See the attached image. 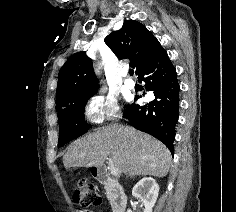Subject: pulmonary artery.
<instances>
[{
  "label": "pulmonary artery",
  "instance_id": "pulmonary-artery-1",
  "mask_svg": "<svg viewBox=\"0 0 236 212\" xmlns=\"http://www.w3.org/2000/svg\"><path fill=\"white\" fill-rule=\"evenodd\" d=\"M124 85H125V87H127L129 89H133L134 86H135V82L130 78H125L124 79Z\"/></svg>",
  "mask_w": 236,
  "mask_h": 212
}]
</instances>
